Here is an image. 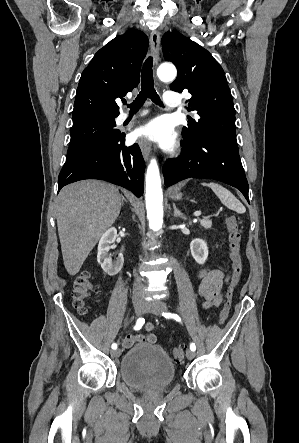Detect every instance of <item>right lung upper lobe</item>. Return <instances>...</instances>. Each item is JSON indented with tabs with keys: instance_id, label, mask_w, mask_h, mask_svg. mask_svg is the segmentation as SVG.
<instances>
[{
	"instance_id": "cb5924a9",
	"label": "right lung upper lobe",
	"mask_w": 299,
	"mask_h": 443,
	"mask_svg": "<svg viewBox=\"0 0 299 443\" xmlns=\"http://www.w3.org/2000/svg\"><path fill=\"white\" fill-rule=\"evenodd\" d=\"M147 36L131 29L101 48L83 71L72 113L73 124L95 117H117V98L139 83Z\"/></svg>"
}]
</instances>
